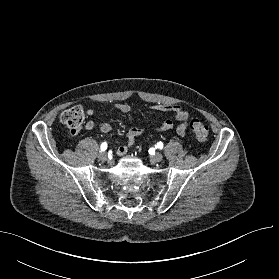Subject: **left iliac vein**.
Returning a JSON list of instances; mask_svg holds the SVG:
<instances>
[{"label":"left iliac vein","mask_w":279,"mask_h":279,"mask_svg":"<svg viewBox=\"0 0 279 279\" xmlns=\"http://www.w3.org/2000/svg\"><path fill=\"white\" fill-rule=\"evenodd\" d=\"M151 160L153 162H161L163 160V155L161 153H154L152 156H151Z\"/></svg>","instance_id":"left-iliac-vein-1"}]
</instances>
